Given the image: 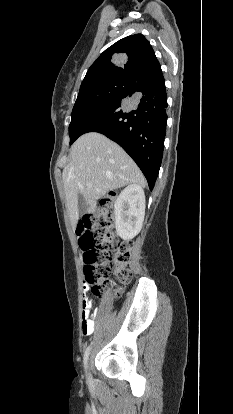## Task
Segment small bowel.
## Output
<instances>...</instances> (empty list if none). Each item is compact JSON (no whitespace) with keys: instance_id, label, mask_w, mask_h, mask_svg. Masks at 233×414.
I'll list each match as a JSON object with an SVG mask.
<instances>
[{"instance_id":"small-bowel-1","label":"small bowel","mask_w":233,"mask_h":414,"mask_svg":"<svg viewBox=\"0 0 233 414\" xmlns=\"http://www.w3.org/2000/svg\"><path fill=\"white\" fill-rule=\"evenodd\" d=\"M85 283L82 285L83 288V302H82V331L84 335H91L94 331V316L95 312H92V302L87 295L88 290L91 288V285L84 280Z\"/></svg>"}]
</instances>
